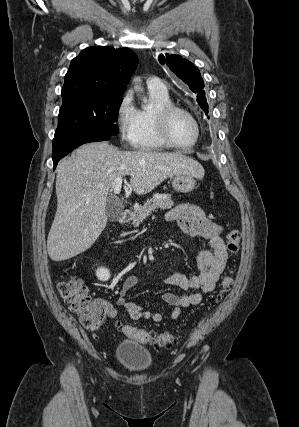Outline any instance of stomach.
Listing matches in <instances>:
<instances>
[{
	"label": "stomach",
	"mask_w": 299,
	"mask_h": 427,
	"mask_svg": "<svg viewBox=\"0 0 299 427\" xmlns=\"http://www.w3.org/2000/svg\"><path fill=\"white\" fill-rule=\"evenodd\" d=\"M195 178L191 174H175L172 176V186L176 192L189 193L195 188Z\"/></svg>",
	"instance_id": "stomach-1"
}]
</instances>
